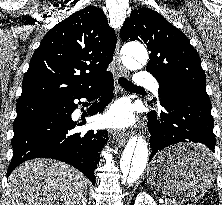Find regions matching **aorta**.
Masks as SVG:
<instances>
[{
	"instance_id": "aorta-1",
	"label": "aorta",
	"mask_w": 222,
	"mask_h": 205,
	"mask_svg": "<svg viewBox=\"0 0 222 205\" xmlns=\"http://www.w3.org/2000/svg\"><path fill=\"white\" fill-rule=\"evenodd\" d=\"M123 63L130 69H136L145 65L148 60V52L140 43H129L123 48ZM149 156L148 144L145 139L132 137L120 159L119 186L125 188L133 185L146 168Z\"/></svg>"
}]
</instances>
